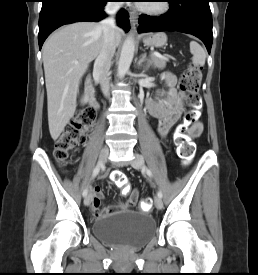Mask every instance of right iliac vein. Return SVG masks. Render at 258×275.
I'll return each instance as SVG.
<instances>
[{
	"label": "right iliac vein",
	"mask_w": 258,
	"mask_h": 275,
	"mask_svg": "<svg viewBox=\"0 0 258 275\" xmlns=\"http://www.w3.org/2000/svg\"><path fill=\"white\" fill-rule=\"evenodd\" d=\"M109 155V148L108 147H103L101 152H100V155H99V159H100V162H104L107 157ZM91 194L87 195L84 199V205L85 206H89L90 203H91Z\"/></svg>",
	"instance_id": "right-iliac-vein-1"
}]
</instances>
